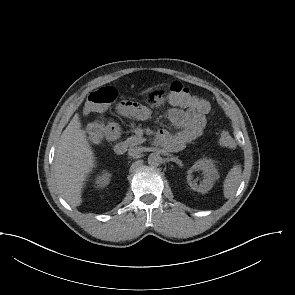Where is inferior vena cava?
Returning <instances> with one entry per match:
<instances>
[{"label": "inferior vena cava", "mask_w": 295, "mask_h": 295, "mask_svg": "<svg viewBox=\"0 0 295 295\" xmlns=\"http://www.w3.org/2000/svg\"><path fill=\"white\" fill-rule=\"evenodd\" d=\"M144 151L143 147H132L129 149L128 154L131 157H139Z\"/></svg>", "instance_id": "obj_1"}]
</instances>
